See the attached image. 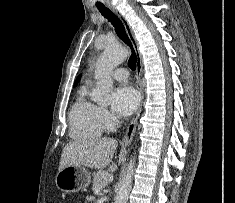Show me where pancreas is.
Listing matches in <instances>:
<instances>
[{"mask_svg":"<svg viewBox=\"0 0 235 203\" xmlns=\"http://www.w3.org/2000/svg\"><path fill=\"white\" fill-rule=\"evenodd\" d=\"M110 174L106 171H98L93 174V185L92 189L93 191H96L97 189H101L108 185L110 181Z\"/></svg>","mask_w":235,"mask_h":203,"instance_id":"pancreas-1","label":"pancreas"}]
</instances>
